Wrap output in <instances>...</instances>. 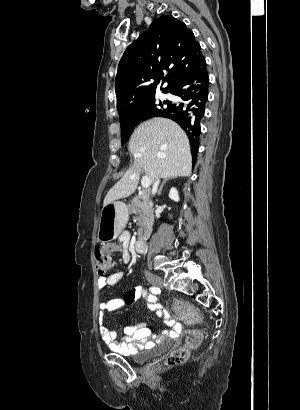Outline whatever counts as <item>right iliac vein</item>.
Segmentation results:
<instances>
[{
  "instance_id": "obj_1",
  "label": "right iliac vein",
  "mask_w": 300,
  "mask_h": 410,
  "mask_svg": "<svg viewBox=\"0 0 300 410\" xmlns=\"http://www.w3.org/2000/svg\"><path fill=\"white\" fill-rule=\"evenodd\" d=\"M146 279L148 280L149 283L157 287H161L163 284L162 278L152 273H147Z\"/></svg>"
}]
</instances>
